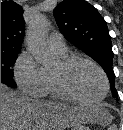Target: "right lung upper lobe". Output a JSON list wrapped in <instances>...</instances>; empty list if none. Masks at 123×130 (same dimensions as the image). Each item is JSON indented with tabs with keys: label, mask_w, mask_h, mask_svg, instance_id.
I'll list each match as a JSON object with an SVG mask.
<instances>
[{
	"label": "right lung upper lobe",
	"mask_w": 123,
	"mask_h": 130,
	"mask_svg": "<svg viewBox=\"0 0 123 130\" xmlns=\"http://www.w3.org/2000/svg\"><path fill=\"white\" fill-rule=\"evenodd\" d=\"M23 9L13 1L1 3V51H20L24 38Z\"/></svg>",
	"instance_id": "cb5924a9"
}]
</instances>
